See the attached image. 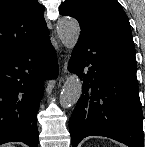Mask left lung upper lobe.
I'll list each match as a JSON object with an SVG mask.
<instances>
[{"label": "left lung upper lobe", "instance_id": "1", "mask_svg": "<svg viewBox=\"0 0 145 147\" xmlns=\"http://www.w3.org/2000/svg\"><path fill=\"white\" fill-rule=\"evenodd\" d=\"M60 14L77 19L81 31L117 32L132 37L128 17L117 0H65Z\"/></svg>", "mask_w": 145, "mask_h": 147}]
</instances>
